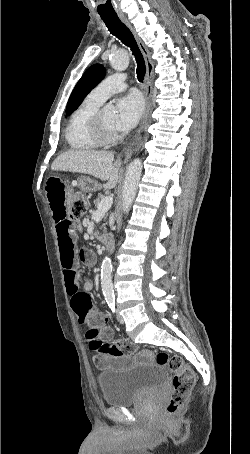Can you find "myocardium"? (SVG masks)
<instances>
[{
    "label": "myocardium",
    "instance_id": "obj_1",
    "mask_svg": "<svg viewBox=\"0 0 250 454\" xmlns=\"http://www.w3.org/2000/svg\"><path fill=\"white\" fill-rule=\"evenodd\" d=\"M102 110H97L90 119V130L94 138L101 144H111L119 139L116 130L107 129L101 118Z\"/></svg>",
    "mask_w": 250,
    "mask_h": 454
}]
</instances>
